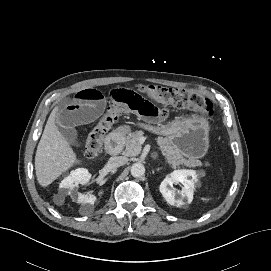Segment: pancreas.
Returning a JSON list of instances; mask_svg holds the SVG:
<instances>
[{
  "instance_id": "obj_1",
  "label": "pancreas",
  "mask_w": 271,
  "mask_h": 271,
  "mask_svg": "<svg viewBox=\"0 0 271 271\" xmlns=\"http://www.w3.org/2000/svg\"><path fill=\"white\" fill-rule=\"evenodd\" d=\"M143 136L142 131H135L129 133L125 138L123 155L125 156H136L141 152L140 138ZM160 151L165 157L166 162L171 165L172 168L183 166H201V162L198 160H187L182 154L175 149L167 139L159 137L157 139Z\"/></svg>"
}]
</instances>
